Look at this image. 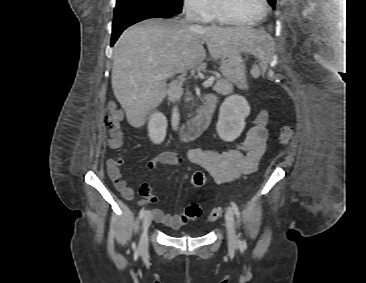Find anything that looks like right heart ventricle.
Instances as JSON below:
<instances>
[{
    "label": "right heart ventricle",
    "mask_w": 366,
    "mask_h": 283,
    "mask_svg": "<svg viewBox=\"0 0 366 283\" xmlns=\"http://www.w3.org/2000/svg\"><path fill=\"white\" fill-rule=\"evenodd\" d=\"M205 21L217 23V24H220V25H228V24H230L229 22H227L226 20H224L223 18H221L217 14V12L215 11L214 3L213 2L211 3V9H210L209 13L205 17Z\"/></svg>",
    "instance_id": "1"
}]
</instances>
